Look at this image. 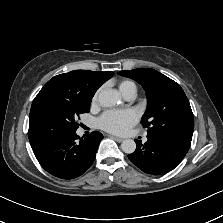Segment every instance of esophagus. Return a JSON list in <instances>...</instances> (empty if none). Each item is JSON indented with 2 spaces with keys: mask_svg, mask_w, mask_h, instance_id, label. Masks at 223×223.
I'll return each mask as SVG.
<instances>
[{
  "mask_svg": "<svg viewBox=\"0 0 223 223\" xmlns=\"http://www.w3.org/2000/svg\"><path fill=\"white\" fill-rule=\"evenodd\" d=\"M110 138L116 140L117 142H122L124 139L123 138H119L117 136H114V135H108Z\"/></svg>",
  "mask_w": 223,
  "mask_h": 223,
  "instance_id": "34e87169",
  "label": "esophagus"
}]
</instances>
